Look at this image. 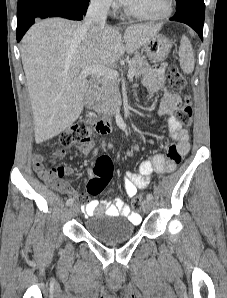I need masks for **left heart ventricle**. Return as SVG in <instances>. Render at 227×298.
Here are the masks:
<instances>
[{"instance_id":"obj_1","label":"left heart ventricle","mask_w":227,"mask_h":298,"mask_svg":"<svg viewBox=\"0 0 227 298\" xmlns=\"http://www.w3.org/2000/svg\"><path fill=\"white\" fill-rule=\"evenodd\" d=\"M125 5L138 14L157 15L164 11L166 0H128Z\"/></svg>"}]
</instances>
